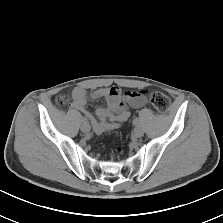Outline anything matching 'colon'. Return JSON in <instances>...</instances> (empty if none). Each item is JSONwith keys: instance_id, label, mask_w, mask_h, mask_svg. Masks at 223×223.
Wrapping results in <instances>:
<instances>
[{"instance_id": "colon-1", "label": "colon", "mask_w": 223, "mask_h": 223, "mask_svg": "<svg viewBox=\"0 0 223 223\" xmlns=\"http://www.w3.org/2000/svg\"><path fill=\"white\" fill-rule=\"evenodd\" d=\"M150 103L152 107L159 113H165L169 109L170 102L168 97L160 92H152L149 96ZM68 97L65 95H60L56 98V104L63 106L68 104ZM120 151V149H119Z\"/></svg>"}]
</instances>
